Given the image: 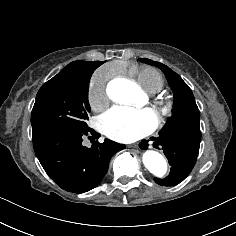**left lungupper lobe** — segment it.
Returning <instances> with one entry per match:
<instances>
[{
  "label": "left lung upper lobe",
  "mask_w": 236,
  "mask_h": 236,
  "mask_svg": "<svg viewBox=\"0 0 236 236\" xmlns=\"http://www.w3.org/2000/svg\"><path fill=\"white\" fill-rule=\"evenodd\" d=\"M138 61L154 65L162 70L168 80L174 94V108L172 116L168 119L164 128H181L191 131H200V112L195 102V98L189 86L182 78L172 71L168 66L152 61L147 58H140Z\"/></svg>",
  "instance_id": "1"
}]
</instances>
